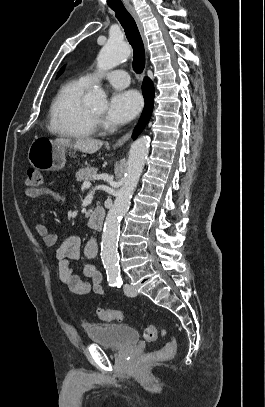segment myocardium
<instances>
[{"instance_id": "1", "label": "myocardium", "mask_w": 265, "mask_h": 407, "mask_svg": "<svg viewBox=\"0 0 265 407\" xmlns=\"http://www.w3.org/2000/svg\"><path fill=\"white\" fill-rule=\"evenodd\" d=\"M89 114L91 116L94 129L101 128L103 126L101 115L94 113L92 110H89Z\"/></svg>"}]
</instances>
